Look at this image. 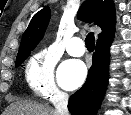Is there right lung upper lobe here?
<instances>
[{
    "label": "right lung upper lobe",
    "instance_id": "obj_1",
    "mask_svg": "<svg viewBox=\"0 0 131 115\" xmlns=\"http://www.w3.org/2000/svg\"><path fill=\"white\" fill-rule=\"evenodd\" d=\"M49 19V7H44L33 16L23 34L17 57L35 48L43 38ZM78 19L87 23L93 22L102 29L98 41L112 38L114 35L115 7L112 0H86L78 11Z\"/></svg>",
    "mask_w": 131,
    "mask_h": 115
}]
</instances>
